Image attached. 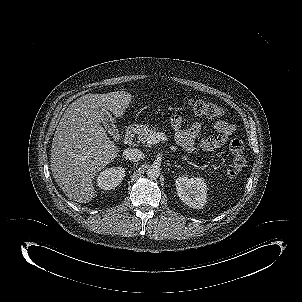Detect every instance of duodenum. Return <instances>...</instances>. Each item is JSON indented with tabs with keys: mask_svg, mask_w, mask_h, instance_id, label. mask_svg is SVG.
Returning <instances> with one entry per match:
<instances>
[{
	"mask_svg": "<svg viewBox=\"0 0 302 302\" xmlns=\"http://www.w3.org/2000/svg\"><path fill=\"white\" fill-rule=\"evenodd\" d=\"M140 130H141V126L139 124H133L129 126L124 136L123 142L125 144L130 143L134 139L136 134L140 132Z\"/></svg>",
	"mask_w": 302,
	"mask_h": 302,
	"instance_id": "1",
	"label": "duodenum"
}]
</instances>
